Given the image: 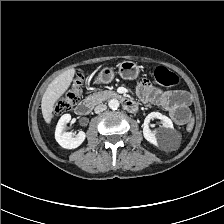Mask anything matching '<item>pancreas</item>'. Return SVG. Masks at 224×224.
I'll list each match as a JSON object with an SVG mask.
<instances>
[{
  "label": "pancreas",
  "instance_id": "cf45deb5",
  "mask_svg": "<svg viewBox=\"0 0 224 224\" xmlns=\"http://www.w3.org/2000/svg\"><path fill=\"white\" fill-rule=\"evenodd\" d=\"M103 95H112V96H115L116 93H115V92H111V91H108V92H101V93L94 94V95H92L91 97L94 98V99H96V100H100V98H101Z\"/></svg>",
  "mask_w": 224,
  "mask_h": 224
}]
</instances>
